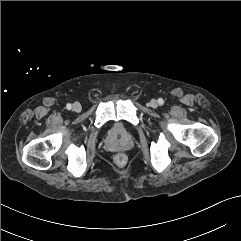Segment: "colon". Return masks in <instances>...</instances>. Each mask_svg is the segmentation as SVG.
Instances as JSON below:
<instances>
[{
    "instance_id": "1",
    "label": "colon",
    "mask_w": 241,
    "mask_h": 241,
    "mask_svg": "<svg viewBox=\"0 0 241 241\" xmlns=\"http://www.w3.org/2000/svg\"><path fill=\"white\" fill-rule=\"evenodd\" d=\"M126 160H127V158H126L125 154H123V153L117 154L115 156V161L120 165L124 164L126 162Z\"/></svg>"
}]
</instances>
